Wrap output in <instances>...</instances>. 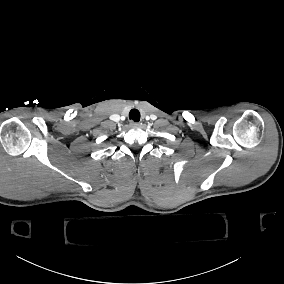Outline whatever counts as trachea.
<instances>
[{
    "label": "trachea",
    "instance_id": "1",
    "mask_svg": "<svg viewBox=\"0 0 284 284\" xmlns=\"http://www.w3.org/2000/svg\"><path fill=\"white\" fill-rule=\"evenodd\" d=\"M129 118L134 122H139L140 120V113L137 109H132L129 113Z\"/></svg>",
    "mask_w": 284,
    "mask_h": 284
}]
</instances>
